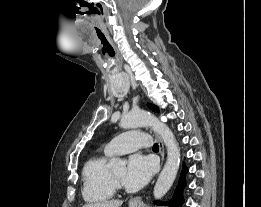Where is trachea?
I'll use <instances>...</instances> for the list:
<instances>
[{
    "label": "trachea",
    "instance_id": "3493384b",
    "mask_svg": "<svg viewBox=\"0 0 261 207\" xmlns=\"http://www.w3.org/2000/svg\"><path fill=\"white\" fill-rule=\"evenodd\" d=\"M153 150H159V147H158L157 144H154V146H153Z\"/></svg>",
    "mask_w": 261,
    "mask_h": 207
}]
</instances>
